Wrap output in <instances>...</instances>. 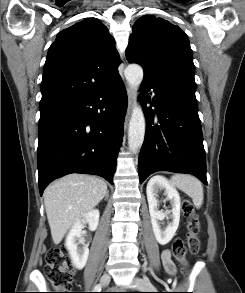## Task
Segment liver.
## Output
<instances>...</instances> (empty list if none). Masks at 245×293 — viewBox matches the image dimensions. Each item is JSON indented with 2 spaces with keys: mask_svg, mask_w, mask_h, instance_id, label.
Returning a JSON list of instances; mask_svg holds the SVG:
<instances>
[{
  "mask_svg": "<svg viewBox=\"0 0 245 293\" xmlns=\"http://www.w3.org/2000/svg\"><path fill=\"white\" fill-rule=\"evenodd\" d=\"M107 194V184L95 176L70 174L49 185L44 204L54 244H59L74 223Z\"/></svg>",
  "mask_w": 245,
  "mask_h": 293,
  "instance_id": "1",
  "label": "liver"
}]
</instances>
